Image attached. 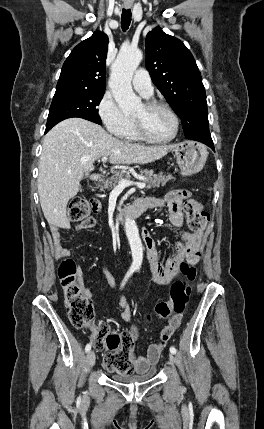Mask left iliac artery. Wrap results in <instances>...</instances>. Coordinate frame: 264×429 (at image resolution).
<instances>
[{
    "label": "left iliac artery",
    "mask_w": 264,
    "mask_h": 429,
    "mask_svg": "<svg viewBox=\"0 0 264 429\" xmlns=\"http://www.w3.org/2000/svg\"><path fill=\"white\" fill-rule=\"evenodd\" d=\"M176 348L175 347H173V346H171L170 347V352L172 353V354H176Z\"/></svg>",
    "instance_id": "obj_1"
}]
</instances>
